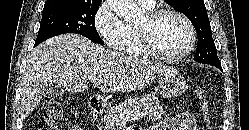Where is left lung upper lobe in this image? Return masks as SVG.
Returning <instances> with one entry per match:
<instances>
[{"mask_svg":"<svg viewBox=\"0 0 249 130\" xmlns=\"http://www.w3.org/2000/svg\"><path fill=\"white\" fill-rule=\"evenodd\" d=\"M175 10L184 13L195 27L198 46L194 60L213 66H221L211 34V26L203 0H165Z\"/></svg>","mask_w":249,"mask_h":130,"instance_id":"obj_1","label":"left lung upper lobe"}]
</instances>
